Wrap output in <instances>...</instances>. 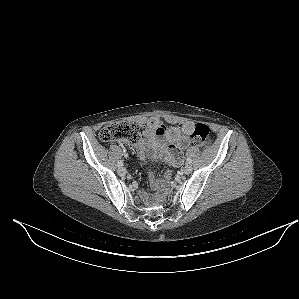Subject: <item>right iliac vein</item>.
<instances>
[{
    "label": "right iliac vein",
    "mask_w": 299,
    "mask_h": 299,
    "mask_svg": "<svg viewBox=\"0 0 299 299\" xmlns=\"http://www.w3.org/2000/svg\"><path fill=\"white\" fill-rule=\"evenodd\" d=\"M117 172H118V174H119L120 176H125V175H126V169H125V167L120 166V167L118 168Z\"/></svg>",
    "instance_id": "obj_1"
}]
</instances>
